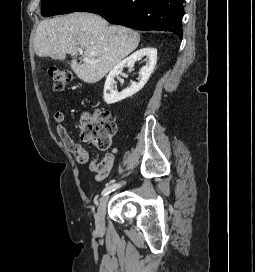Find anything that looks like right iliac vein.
I'll use <instances>...</instances> for the list:
<instances>
[{"instance_id":"63e3f726","label":"right iliac vein","mask_w":255,"mask_h":272,"mask_svg":"<svg viewBox=\"0 0 255 272\" xmlns=\"http://www.w3.org/2000/svg\"><path fill=\"white\" fill-rule=\"evenodd\" d=\"M108 200H109L108 195L103 196L98 206V210H97V214L95 218V226H96V230L99 232H102L105 228V213H106Z\"/></svg>"}]
</instances>
